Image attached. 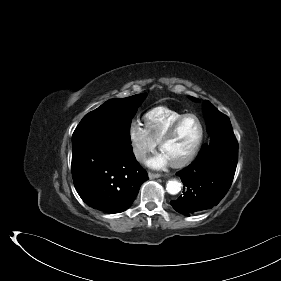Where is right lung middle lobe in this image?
<instances>
[{"mask_svg": "<svg viewBox=\"0 0 281 281\" xmlns=\"http://www.w3.org/2000/svg\"><path fill=\"white\" fill-rule=\"evenodd\" d=\"M146 93L110 99L83 117L72 136V152L88 147L130 146V125Z\"/></svg>", "mask_w": 281, "mask_h": 281, "instance_id": "obj_1", "label": "right lung middle lobe"}]
</instances>
